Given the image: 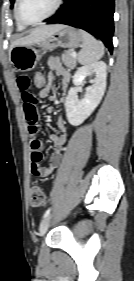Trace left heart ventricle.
Returning a JSON list of instances; mask_svg holds the SVG:
<instances>
[{"mask_svg": "<svg viewBox=\"0 0 134 281\" xmlns=\"http://www.w3.org/2000/svg\"><path fill=\"white\" fill-rule=\"evenodd\" d=\"M57 0H21L20 13L26 21H36L46 16Z\"/></svg>", "mask_w": 134, "mask_h": 281, "instance_id": "b2bd125f", "label": "left heart ventricle"}]
</instances>
